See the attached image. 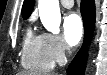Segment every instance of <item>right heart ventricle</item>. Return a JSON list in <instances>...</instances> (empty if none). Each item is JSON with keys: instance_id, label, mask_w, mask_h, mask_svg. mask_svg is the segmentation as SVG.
Returning <instances> with one entry per match:
<instances>
[{"instance_id": "obj_1", "label": "right heart ventricle", "mask_w": 107, "mask_h": 75, "mask_svg": "<svg viewBox=\"0 0 107 75\" xmlns=\"http://www.w3.org/2000/svg\"><path fill=\"white\" fill-rule=\"evenodd\" d=\"M21 64L26 70L36 72H47L54 67L43 35L36 34L30 27L23 37Z\"/></svg>"}]
</instances>
